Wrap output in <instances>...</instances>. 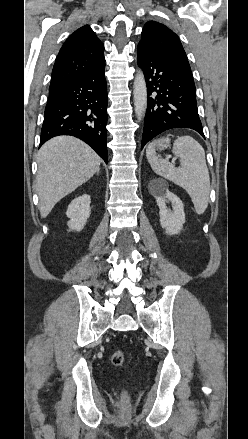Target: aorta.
Wrapping results in <instances>:
<instances>
[{
    "instance_id": "obj_1",
    "label": "aorta",
    "mask_w": 248,
    "mask_h": 439,
    "mask_svg": "<svg viewBox=\"0 0 248 439\" xmlns=\"http://www.w3.org/2000/svg\"><path fill=\"white\" fill-rule=\"evenodd\" d=\"M133 95L135 113L137 118L141 120L147 108V87L142 71H139L135 77Z\"/></svg>"
}]
</instances>
